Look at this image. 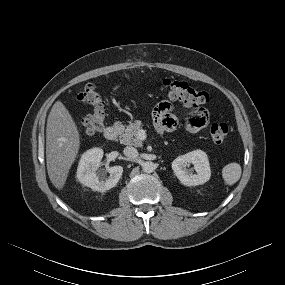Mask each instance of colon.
Wrapping results in <instances>:
<instances>
[{
    "label": "colon",
    "instance_id": "5ec220e1",
    "mask_svg": "<svg viewBox=\"0 0 285 285\" xmlns=\"http://www.w3.org/2000/svg\"><path fill=\"white\" fill-rule=\"evenodd\" d=\"M163 88L168 97L173 101H179L188 106H201L210 102L207 92L196 89L186 82L166 79L163 82ZM79 102L92 107V112L83 117L80 122V128L87 134L100 132L105 125L106 111L104 102L93 84H87L78 94ZM231 127L224 122L212 124L210 135L215 143L224 142L229 136Z\"/></svg>",
    "mask_w": 285,
    "mask_h": 285
}]
</instances>
